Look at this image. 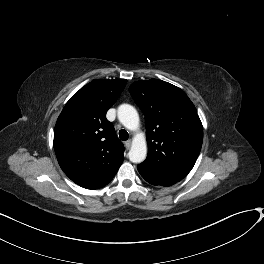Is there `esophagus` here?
<instances>
[{"label":"esophagus","mask_w":264,"mask_h":264,"mask_svg":"<svg viewBox=\"0 0 264 264\" xmlns=\"http://www.w3.org/2000/svg\"><path fill=\"white\" fill-rule=\"evenodd\" d=\"M132 141L129 139L126 141V147L130 148Z\"/></svg>","instance_id":"34e87169"}]
</instances>
